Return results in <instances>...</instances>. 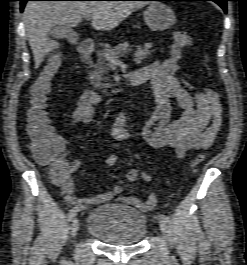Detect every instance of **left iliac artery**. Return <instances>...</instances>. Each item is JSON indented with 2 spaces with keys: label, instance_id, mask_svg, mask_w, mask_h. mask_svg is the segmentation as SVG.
Wrapping results in <instances>:
<instances>
[{
  "label": "left iliac artery",
  "instance_id": "left-iliac-artery-1",
  "mask_svg": "<svg viewBox=\"0 0 247 265\" xmlns=\"http://www.w3.org/2000/svg\"><path fill=\"white\" fill-rule=\"evenodd\" d=\"M159 217H160L162 220L166 221V222L169 221V217L166 216V215H164V214H160Z\"/></svg>",
  "mask_w": 247,
  "mask_h": 265
}]
</instances>
